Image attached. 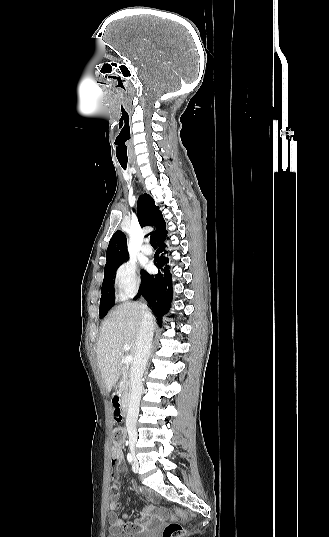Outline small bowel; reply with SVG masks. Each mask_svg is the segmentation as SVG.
<instances>
[{"instance_id": "obj_1", "label": "small bowel", "mask_w": 329, "mask_h": 537, "mask_svg": "<svg viewBox=\"0 0 329 537\" xmlns=\"http://www.w3.org/2000/svg\"><path fill=\"white\" fill-rule=\"evenodd\" d=\"M122 409L120 407H115L113 409V421L117 424L123 422L124 417L122 414ZM123 462V450L122 446L114 445L112 448V460H111V474L113 476V486L111 487V496L109 508L110 512L108 514V521L110 523L111 529L115 532H125V533H141L149 531L155 528L159 521L163 520L167 512L165 509L160 507H155L153 505L146 506L145 509L140 513L139 519L134 522H129L124 525V521L129 519L128 514H123L121 517H118L114 512L118 505L119 499V490L117 483V472L122 467ZM131 487L136 490L137 486L134 482H131ZM144 495L150 500L156 502L157 497L151 494L149 491H144Z\"/></svg>"}]
</instances>
